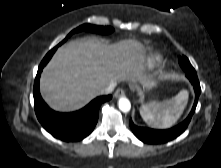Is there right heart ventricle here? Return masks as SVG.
Wrapping results in <instances>:
<instances>
[{
	"label": "right heart ventricle",
	"mask_w": 221,
	"mask_h": 168,
	"mask_svg": "<svg viewBox=\"0 0 221 168\" xmlns=\"http://www.w3.org/2000/svg\"><path fill=\"white\" fill-rule=\"evenodd\" d=\"M157 62H159L160 61V59L157 57L156 59H155Z\"/></svg>",
	"instance_id": "1"
}]
</instances>
